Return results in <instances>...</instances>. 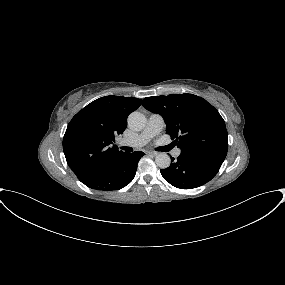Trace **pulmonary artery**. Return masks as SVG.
<instances>
[{"mask_svg": "<svg viewBox=\"0 0 285 285\" xmlns=\"http://www.w3.org/2000/svg\"><path fill=\"white\" fill-rule=\"evenodd\" d=\"M165 126L164 120L161 115L152 114L149 117L148 123L143 131L134 136L131 139H123V145H130L133 147H140L147 144L153 137L159 135ZM180 151L175 152L176 156H179Z\"/></svg>", "mask_w": 285, "mask_h": 285, "instance_id": "obj_1", "label": "pulmonary artery"}]
</instances>
